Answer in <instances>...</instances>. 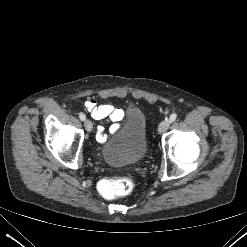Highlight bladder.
Segmentation results:
<instances>
[{
  "mask_svg": "<svg viewBox=\"0 0 247 247\" xmlns=\"http://www.w3.org/2000/svg\"><path fill=\"white\" fill-rule=\"evenodd\" d=\"M147 150L146 117L139 108L130 107L123 125L102 145L101 155L110 166H124L141 161Z\"/></svg>",
  "mask_w": 247,
  "mask_h": 247,
  "instance_id": "bladder-1",
  "label": "bladder"
}]
</instances>
